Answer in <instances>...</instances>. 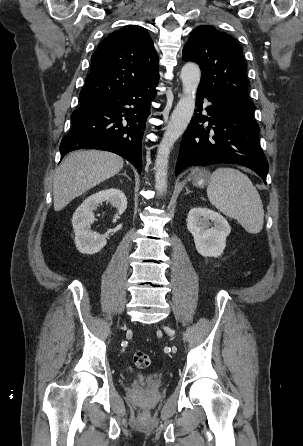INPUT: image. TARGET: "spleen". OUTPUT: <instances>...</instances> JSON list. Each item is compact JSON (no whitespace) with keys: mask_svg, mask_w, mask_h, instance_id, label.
Listing matches in <instances>:
<instances>
[{"mask_svg":"<svg viewBox=\"0 0 303 446\" xmlns=\"http://www.w3.org/2000/svg\"><path fill=\"white\" fill-rule=\"evenodd\" d=\"M207 195L224 215L236 219L251 234L263 228L264 209L260 195L247 175L237 169L220 167L210 178Z\"/></svg>","mask_w":303,"mask_h":446,"instance_id":"obj_1","label":"spleen"}]
</instances>
